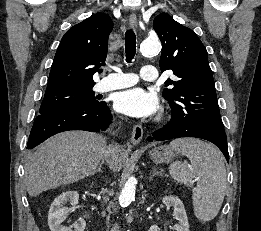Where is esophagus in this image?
<instances>
[{"label":"esophagus","mask_w":261,"mask_h":231,"mask_svg":"<svg viewBox=\"0 0 261 231\" xmlns=\"http://www.w3.org/2000/svg\"><path fill=\"white\" fill-rule=\"evenodd\" d=\"M129 23L133 28H137L138 22H137V17L135 13H131L129 16ZM143 137V129L140 125H135L132 129L131 133V143L132 145H138Z\"/></svg>","instance_id":"1"}]
</instances>
